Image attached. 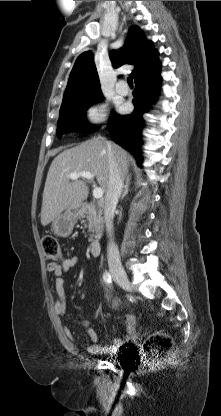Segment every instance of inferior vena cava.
I'll list each match as a JSON object with an SVG mask.
<instances>
[{
    "label": "inferior vena cava",
    "mask_w": 221,
    "mask_h": 416,
    "mask_svg": "<svg viewBox=\"0 0 221 416\" xmlns=\"http://www.w3.org/2000/svg\"><path fill=\"white\" fill-rule=\"evenodd\" d=\"M109 148V166H110V176H109V186L105 196L104 203V217L106 222V230L109 239L107 246V259L110 271H122V265L119 255V250L114 242L113 237V218L114 212L118 203V200L121 196L123 189V178L121 176L120 169L116 163L115 158L113 157Z\"/></svg>",
    "instance_id": "1"
}]
</instances>
